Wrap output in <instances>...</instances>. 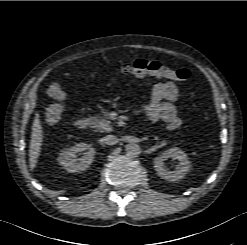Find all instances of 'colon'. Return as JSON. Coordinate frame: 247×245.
Wrapping results in <instances>:
<instances>
[{
  "label": "colon",
  "mask_w": 247,
  "mask_h": 245,
  "mask_svg": "<svg viewBox=\"0 0 247 245\" xmlns=\"http://www.w3.org/2000/svg\"><path fill=\"white\" fill-rule=\"evenodd\" d=\"M121 73L125 76L135 77L152 75L179 82H186L190 78L189 70L172 69L155 59H138L132 63L124 64L121 67ZM48 94L56 102L45 109V120L50 124H55L61 119L64 110L62 101L65 98V91L60 84L51 83L48 88ZM181 125L182 120L178 117L168 122V128L171 130L179 129Z\"/></svg>",
  "instance_id": "obj_1"
}]
</instances>
